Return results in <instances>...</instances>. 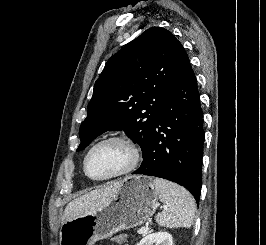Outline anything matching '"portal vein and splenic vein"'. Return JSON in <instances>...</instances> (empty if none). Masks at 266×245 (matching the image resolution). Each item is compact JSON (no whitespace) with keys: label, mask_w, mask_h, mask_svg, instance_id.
<instances>
[{"label":"portal vein and splenic vein","mask_w":266,"mask_h":245,"mask_svg":"<svg viewBox=\"0 0 266 245\" xmlns=\"http://www.w3.org/2000/svg\"><path fill=\"white\" fill-rule=\"evenodd\" d=\"M146 231H149L148 227L147 229H140V231H137L138 235H144V233H146Z\"/></svg>","instance_id":"portal-vein-and-splenic-vein-1"}]
</instances>
